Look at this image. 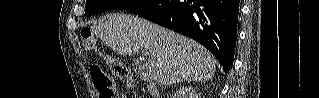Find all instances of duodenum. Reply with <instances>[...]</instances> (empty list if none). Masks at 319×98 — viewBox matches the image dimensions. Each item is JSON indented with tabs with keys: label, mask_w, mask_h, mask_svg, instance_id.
<instances>
[{
	"label": "duodenum",
	"mask_w": 319,
	"mask_h": 98,
	"mask_svg": "<svg viewBox=\"0 0 319 98\" xmlns=\"http://www.w3.org/2000/svg\"><path fill=\"white\" fill-rule=\"evenodd\" d=\"M148 90L153 98H158V90L154 83H148Z\"/></svg>",
	"instance_id": "410a0bca"
}]
</instances>
